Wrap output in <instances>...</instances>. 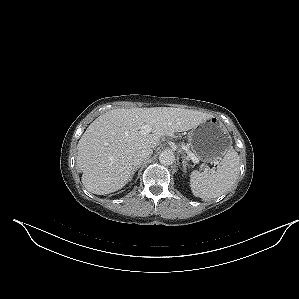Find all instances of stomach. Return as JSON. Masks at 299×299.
<instances>
[{
    "instance_id": "1",
    "label": "stomach",
    "mask_w": 299,
    "mask_h": 299,
    "mask_svg": "<svg viewBox=\"0 0 299 299\" xmlns=\"http://www.w3.org/2000/svg\"><path fill=\"white\" fill-rule=\"evenodd\" d=\"M188 141L191 150L203 161L221 159L232 146L228 130L215 117L195 126L188 133Z\"/></svg>"
}]
</instances>
